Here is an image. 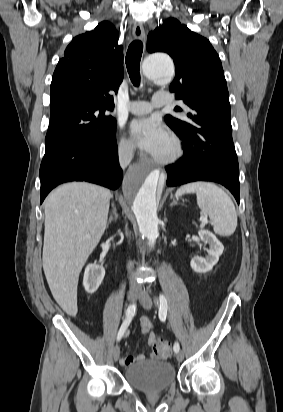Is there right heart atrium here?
Wrapping results in <instances>:
<instances>
[{"label":"right heart atrium","mask_w":283,"mask_h":412,"mask_svg":"<svg viewBox=\"0 0 283 412\" xmlns=\"http://www.w3.org/2000/svg\"><path fill=\"white\" fill-rule=\"evenodd\" d=\"M117 150L121 158L130 159L134 155L136 148L131 140L121 137L117 144Z\"/></svg>","instance_id":"obj_1"}]
</instances>
